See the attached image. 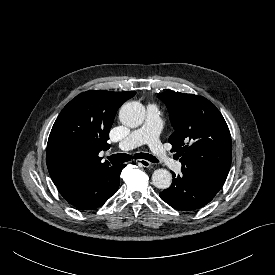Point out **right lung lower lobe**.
<instances>
[{
    "mask_svg": "<svg viewBox=\"0 0 275 275\" xmlns=\"http://www.w3.org/2000/svg\"><path fill=\"white\" fill-rule=\"evenodd\" d=\"M125 164L108 166L84 178L57 186L63 198L81 210L102 206L119 187L121 170Z\"/></svg>",
    "mask_w": 275,
    "mask_h": 275,
    "instance_id": "98d812e1",
    "label": "right lung lower lobe"
}]
</instances>
